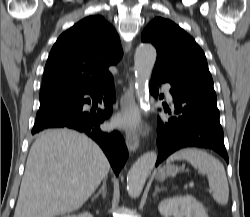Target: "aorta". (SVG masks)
Here are the masks:
<instances>
[{"label": "aorta", "mask_w": 250, "mask_h": 217, "mask_svg": "<svg viewBox=\"0 0 250 217\" xmlns=\"http://www.w3.org/2000/svg\"><path fill=\"white\" fill-rule=\"evenodd\" d=\"M156 49L150 44H141L137 47L134 56L135 91L141 108L145 111L149 108V96L147 82L151 76L155 61ZM157 160V152L150 151L143 154L127 175V190L132 198H137L145 185V182L153 170Z\"/></svg>", "instance_id": "762f6f07"}]
</instances>
